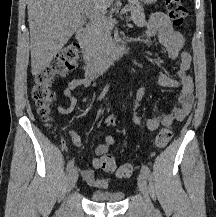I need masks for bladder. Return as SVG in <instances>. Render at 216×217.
<instances>
[{"label": "bladder", "instance_id": "31cf9c89", "mask_svg": "<svg viewBox=\"0 0 216 217\" xmlns=\"http://www.w3.org/2000/svg\"><path fill=\"white\" fill-rule=\"evenodd\" d=\"M125 194L120 191H93L90 194L92 201L97 203H117L124 198Z\"/></svg>", "mask_w": 216, "mask_h": 217}]
</instances>
